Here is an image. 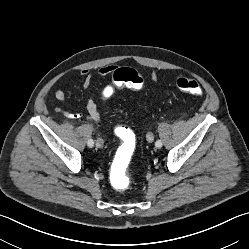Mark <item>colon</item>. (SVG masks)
Instances as JSON below:
<instances>
[{"mask_svg": "<svg viewBox=\"0 0 249 249\" xmlns=\"http://www.w3.org/2000/svg\"><path fill=\"white\" fill-rule=\"evenodd\" d=\"M112 80L116 87L126 86L136 91L141 90L144 84L142 77L131 68L116 69L112 75ZM176 85L184 93L199 96L203 92L200 83L193 79L180 78ZM115 133L122 144L115 157L111 185L115 190H124L127 187V173L135 152L136 138L134 132L126 125H119Z\"/></svg>", "mask_w": 249, "mask_h": 249, "instance_id": "1", "label": "colon"}]
</instances>
